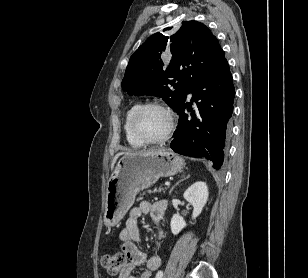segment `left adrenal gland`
<instances>
[{"label":"left adrenal gland","mask_w":308,"mask_h":278,"mask_svg":"<svg viewBox=\"0 0 308 278\" xmlns=\"http://www.w3.org/2000/svg\"><path fill=\"white\" fill-rule=\"evenodd\" d=\"M189 177H190V175H188L187 177H183L181 180H179V181L171 188L169 194L171 195L173 189H174L177 185H179V183H181L182 181L188 179Z\"/></svg>","instance_id":"a2214340"}]
</instances>
